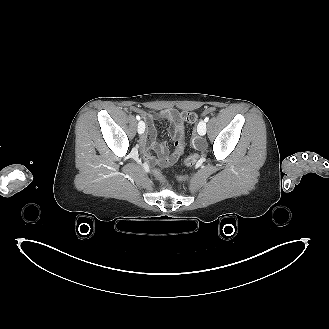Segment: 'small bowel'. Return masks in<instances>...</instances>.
Listing matches in <instances>:
<instances>
[{
    "instance_id": "obj_1",
    "label": "small bowel",
    "mask_w": 329,
    "mask_h": 329,
    "mask_svg": "<svg viewBox=\"0 0 329 329\" xmlns=\"http://www.w3.org/2000/svg\"><path fill=\"white\" fill-rule=\"evenodd\" d=\"M137 111L147 121L146 132L141 138L142 145L146 152V159L153 164L158 162L163 166L175 162L181 156L185 148L183 139L184 125L179 110L168 108L160 111V115L167 118L170 122L169 131L174 142V150L171 154L168 153L164 144H158L156 141V128L152 122V115L142 109H138ZM152 150L156 151L158 158H155L151 154Z\"/></svg>"
}]
</instances>
